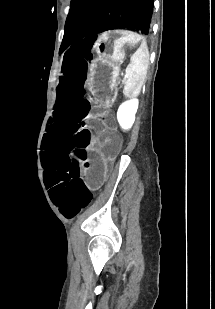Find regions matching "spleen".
<instances>
[{
    "label": "spleen",
    "instance_id": "spleen-1",
    "mask_svg": "<svg viewBox=\"0 0 215 309\" xmlns=\"http://www.w3.org/2000/svg\"><path fill=\"white\" fill-rule=\"evenodd\" d=\"M131 62L126 68V82L124 86L125 96L134 98L141 90L149 64V52L146 40L141 42L136 52L130 58Z\"/></svg>",
    "mask_w": 215,
    "mask_h": 309
}]
</instances>
